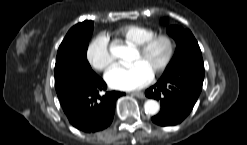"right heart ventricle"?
Returning <instances> with one entry per match:
<instances>
[{"mask_svg":"<svg viewBox=\"0 0 247 145\" xmlns=\"http://www.w3.org/2000/svg\"><path fill=\"white\" fill-rule=\"evenodd\" d=\"M156 31L142 25H126L118 28L115 34L131 45H138L148 37L154 35Z\"/></svg>","mask_w":247,"mask_h":145,"instance_id":"e07e8e85","label":"right heart ventricle"}]
</instances>
